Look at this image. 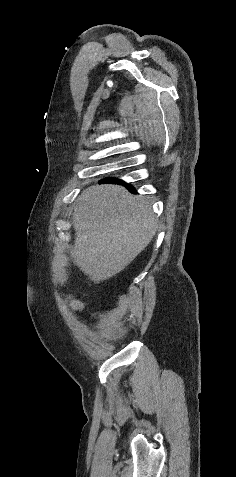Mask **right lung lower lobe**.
<instances>
[{
    "mask_svg": "<svg viewBox=\"0 0 236 477\" xmlns=\"http://www.w3.org/2000/svg\"><path fill=\"white\" fill-rule=\"evenodd\" d=\"M101 183H117V182H122L121 180H118L116 178H106L104 180L100 181ZM127 187L130 189V191H134V187L132 185H127Z\"/></svg>",
    "mask_w": 236,
    "mask_h": 477,
    "instance_id": "right-lung-lower-lobe-1",
    "label": "right lung lower lobe"
}]
</instances>
